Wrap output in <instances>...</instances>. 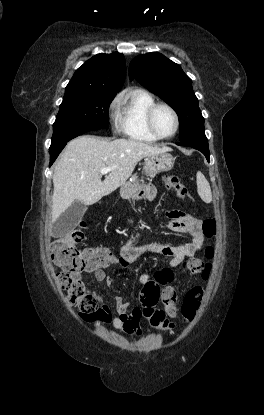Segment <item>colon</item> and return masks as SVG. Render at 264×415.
Instances as JSON below:
<instances>
[{
    "label": "colon",
    "instance_id": "5ec220e1",
    "mask_svg": "<svg viewBox=\"0 0 264 415\" xmlns=\"http://www.w3.org/2000/svg\"><path fill=\"white\" fill-rule=\"evenodd\" d=\"M164 183L180 199L185 200L189 197L187 188L178 176L168 174L164 177ZM85 229L86 224L80 223L77 229L57 239L51 246V258L55 268L58 269L56 281L66 293L67 303L76 308L82 316H95L97 303L82 280L81 272L89 268L105 267L113 263L115 257L100 248L81 250L79 245L85 239ZM202 230L207 239L216 236L217 223L214 217L209 216L203 220ZM214 255L215 250L209 245L205 250V264H202L201 259L193 257L179 269H164L157 272L153 280L144 284L140 293L142 318L148 320L156 328L169 329L173 324L172 320L178 315V294L171 284L182 273H192L198 269H202V277L207 280L211 269L210 262ZM204 294L201 286H195L186 293L180 307L184 321L190 322L194 319ZM159 302L164 306L162 310L156 308Z\"/></svg>",
    "mask_w": 264,
    "mask_h": 415
}]
</instances>
